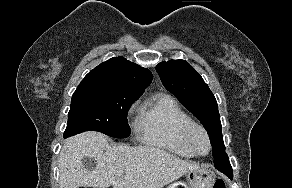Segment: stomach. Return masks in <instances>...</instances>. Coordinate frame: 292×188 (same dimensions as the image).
Masks as SVG:
<instances>
[{
	"mask_svg": "<svg viewBox=\"0 0 292 188\" xmlns=\"http://www.w3.org/2000/svg\"><path fill=\"white\" fill-rule=\"evenodd\" d=\"M215 173L207 166H199L186 173V181H177L167 188H213Z\"/></svg>",
	"mask_w": 292,
	"mask_h": 188,
	"instance_id": "obj_1",
	"label": "stomach"
}]
</instances>
